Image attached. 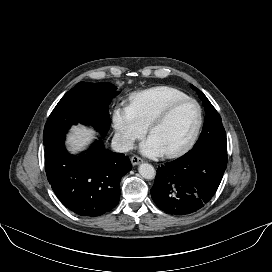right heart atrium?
<instances>
[{"mask_svg":"<svg viewBox=\"0 0 272 272\" xmlns=\"http://www.w3.org/2000/svg\"><path fill=\"white\" fill-rule=\"evenodd\" d=\"M113 126L116 139L123 149H130L146 133V127L129 106H119L115 109Z\"/></svg>","mask_w":272,"mask_h":272,"instance_id":"1","label":"right heart atrium"}]
</instances>
